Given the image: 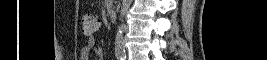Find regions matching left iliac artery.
Wrapping results in <instances>:
<instances>
[{
	"mask_svg": "<svg viewBox=\"0 0 267 60\" xmlns=\"http://www.w3.org/2000/svg\"><path fill=\"white\" fill-rule=\"evenodd\" d=\"M121 60H126V56H122Z\"/></svg>",
	"mask_w": 267,
	"mask_h": 60,
	"instance_id": "obj_1",
	"label": "left iliac artery"
}]
</instances>
